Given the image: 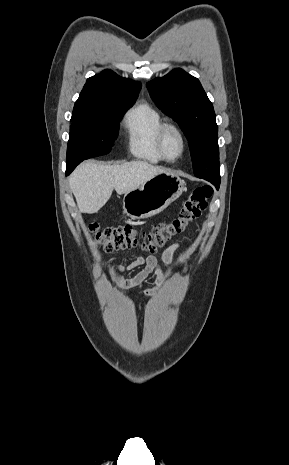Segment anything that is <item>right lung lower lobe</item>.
<instances>
[{"mask_svg": "<svg viewBox=\"0 0 289 465\" xmlns=\"http://www.w3.org/2000/svg\"><path fill=\"white\" fill-rule=\"evenodd\" d=\"M79 163L80 161L67 162L66 175H69Z\"/></svg>", "mask_w": 289, "mask_h": 465, "instance_id": "right-lung-lower-lobe-1", "label": "right lung lower lobe"}]
</instances>
